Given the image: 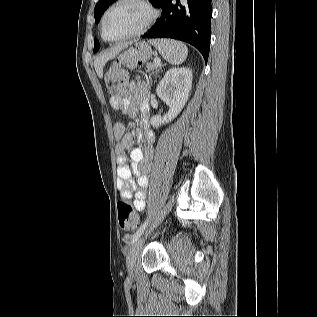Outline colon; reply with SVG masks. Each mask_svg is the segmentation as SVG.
<instances>
[{"mask_svg": "<svg viewBox=\"0 0 317 317\" xmlns=\"http://www.w3.org/2000/svg\"><path fill=\"white\" fill-rule=\"evenodd\" d=\"M125 62L119 59L112 63L105 75L107 89L112 94H118L125 90L128 82V72L124 67ZM119 225L124 230H134L138 226V216L133 206L126 199L117 203Z\"/></svg>", "mask_w": 317, "mask_h": 317, "instance_id": "colon-1", "label": "colon"}]
</instances>
